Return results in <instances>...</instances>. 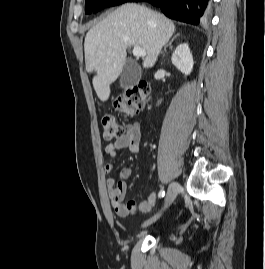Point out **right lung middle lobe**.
<instances>
[{"instance_id": "right-lung-middle-lobe-1", "label": "right lung middle lobe", "mask_w": 265, "mask_h": 269, "mask_svg": "<svg viewBox=\"0 0 265 269\" xmlns=\"http://www.w3.org/2000/svg\"><path fill=\"white\" fill-rule=\"evenodd\" d=\"M129 0H85V12H97L103 8L120 5L128 2Z\"/></svg>"}]
</instances>
